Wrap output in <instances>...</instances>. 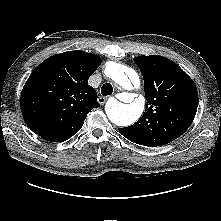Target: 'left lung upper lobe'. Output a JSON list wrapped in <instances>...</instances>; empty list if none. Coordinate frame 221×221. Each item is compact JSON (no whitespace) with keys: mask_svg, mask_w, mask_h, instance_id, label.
<instances>
[{"mask_svg":"<svg viewBox=\"0 0 221 221\" xmlns=\"http://www.w3.org/2000/svg\"><path fill=\"white\" fill-rule=\"evenodd\" d=\"M147 98L145 113L135 124L120 128L130 141L150 147L165 145L190 127L198 107L192 79L174 62L162 56H139Z\"/></svg>","mask_w":221,"mask_h":221,"instance_id":"1","label":"left lung upper lobe"}]
</instances>
